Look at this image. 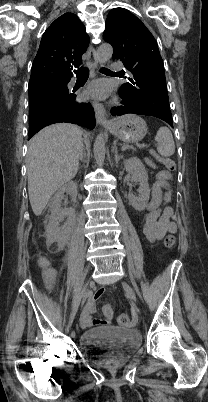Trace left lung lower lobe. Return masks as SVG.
I'll list each match as a JSON object with an SVG mask.
<instances>
[{"label":"left lung lower lobe","mask_w":208,"mask_h":402,"mask_svg":"<svg viewBox=\"0 0 208 402\" xmlns=\"http://www.w3.org/2000/svg\"><path fill=\"white\" fill-rule=\"evenodd\" d=\"M119 95L122 99L121 106L114 107L111 110L113 116H120L124 114H138V115H149L154 116L167 122L171 127H173V120L170 109L150 102H138L135 99L129 98L128 95L124 94L122 90H119Z\"/></svg>","instance_id":"left-lung-lower-lobe-1"}]
</instances>
